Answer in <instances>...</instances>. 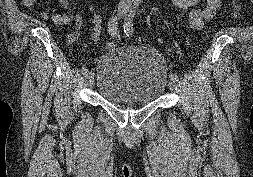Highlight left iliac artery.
I'll list each match as a JSON object with an SVG mask.
<instances>
[{
    "label": "left iliac artery",
    "mask_w": 253,
    "mask_h": 177,
    "mask_svg": "<svg viewBox=\"0 0 253 177\" xmlns=\"http://www.w3.org/2000/svg\"><path fill=\"white\" fill-rule=\"evenodd\" d=\"M135 11H131V13L126 18L123 29L126 36L132 38L133 37V20H134ZM170 79H173L175 81H178V75L176 73L170 74Z\"/></svg>",
    "instance_id": "left-iliac-artery-1"
}]
</instances>
